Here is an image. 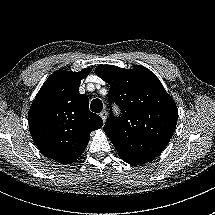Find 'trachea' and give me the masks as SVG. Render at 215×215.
I'll return each instance as SVG.
<instances>
[{
  "label": "trachea",
  "mask_w": 215,
  "mask_h": 215,
  "mask_svg": "<svg viewBox=\"0 0 215 215\" xmlns=\"http://www.w3.org/2000/svg\"><path fill=\"white\" fill-rule=\"evenodd\" d=\"M103 109V104L100 99H94L91 102V110L95 113H100Z\"/></svg>",
  "instance_id": "obj_1"
}]
</instances>
